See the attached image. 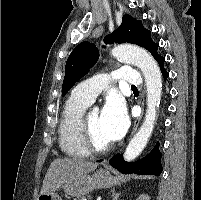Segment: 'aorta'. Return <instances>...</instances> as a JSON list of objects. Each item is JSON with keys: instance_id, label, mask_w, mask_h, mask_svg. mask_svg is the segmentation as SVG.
<instances>
[{"instance_id": "1", "label": "aorta", "mask_w": 201, "mask_h": 200, "mask_svg": "<svg viewBox=\"0 0 201 200\" xmlns=\"http://www.w3.org/2000/svg\"><path fill=\"white\" fill-rule=\"evenodd\" d=\"M111 54L121 62L138 67L143 73L147 88V110L144 121L124 153V159L132 161L142 152L154 128L162 94L161 72L154 58L142 48L118 45L112 49Z\"/></svg>"}]
</instances>
